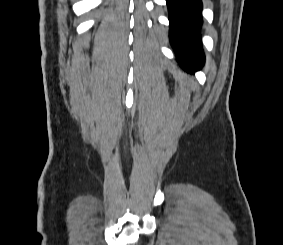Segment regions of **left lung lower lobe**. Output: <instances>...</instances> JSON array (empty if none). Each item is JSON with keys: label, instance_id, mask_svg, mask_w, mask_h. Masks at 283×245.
I'll use <instances>...</instances> for the list:
<instances>
[{"label": "left lung lower lobe", "instance_id": "0a47b994", "mask_svg": "<svg viewBox=\"0 0 283 245\" xmlns=\"http://www.w3.org/2000/svg\"><path fill=\"white\" fill-rule=\"evenodd\" d=\"M170 20V41L180 65L193 73L204 64L200 27L201 0H166Z\"/></svg>", "mask_w": 283, "mask_h": 245}]
</instances>
